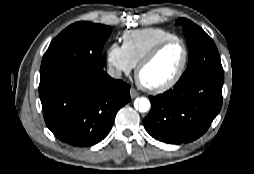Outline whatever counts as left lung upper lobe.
<instances>
[{
	"mask_svg": "<svg viewBox=\"0 0 254 174\" xmlns=\"http://www.w3.org/2000/svg\"><path fill=\"white\" fill-rule=\"evenodd\" d=\"M189 50L188 66L179 79L184 82L204 73H222L220 56L213 40L192 21L179 18Z\"/></svg>",
	"mask_w": 254,
	"mask_h": 174,
	"instance_id": "1",
	"label": "left lung upper lobe"
}]
</instances>
